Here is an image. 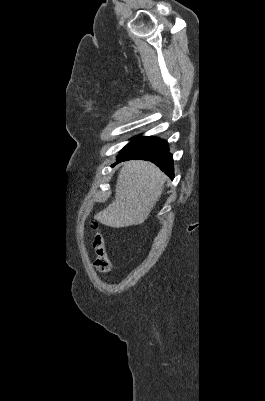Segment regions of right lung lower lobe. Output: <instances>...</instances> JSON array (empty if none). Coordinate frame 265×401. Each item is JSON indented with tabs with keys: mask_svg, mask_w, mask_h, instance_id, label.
Returning <instances> with one entry per match:
<instances>
[{
	"mask_svg": "<svg viewBox=\"0 0 265 401\" xmlns=\"http://www.w3.org/2000/svg\"><path fill=\"white\" fill-rule=\"evenodd\" d=\"M130 159L149 160L170 178L174 177L172 154L169 153L168 144L163 139L136 136L118 156V162Z\"/></svg>",
	"mask_w": 265,
	"mask_h": 401,
	"instance_id": "right-lung-lower-lobe-1",
	"label": "right lung lower lobe"
}]
</instances>
